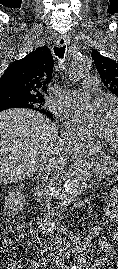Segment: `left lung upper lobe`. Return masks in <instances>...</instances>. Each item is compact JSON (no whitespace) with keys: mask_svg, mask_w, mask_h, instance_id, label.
Listing matches in <instances>:
<instances>
[{"mask_svg":"<svg viewBox=\"0 0 118 269\" xmlns=\"http://www.w3.org/2000/svg\"><path fill=\"white\" fill-rule=\"evenodd\" d=\"M91 56L100 78L109 91L118 96V63L93 50Z\"/></svg>","mask_w":118,"mask_h":269,"instance_id":"obj_1","label":"left lung upper lobe"}]
</instances>
